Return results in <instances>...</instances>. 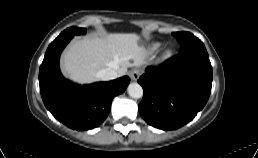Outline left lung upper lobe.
<instances>
[{
	"label": "left lung upper lobe",
	"instance_id": "5c2ea615",
	"mask_svg": "<svg viewBox=\"0 0 258 158\" xmlns=\"http://www.w3.org/2000/svg\"><path fill=\"white\" fill-rule=\"evenodd\" d=\"M173 36L176 37L177 41L181 46L192 40L197 39L193 34L189 32H176V33H173Z\"/></svg>",
	"mask_w": 258,
	"mask_h": 158
}]
</instances>
